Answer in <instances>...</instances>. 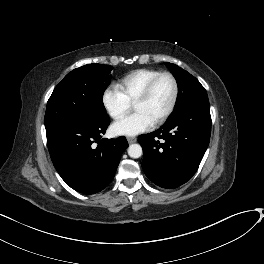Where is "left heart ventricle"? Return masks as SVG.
Segmentation results:
<instances>
[{"label":"left heart ventricle","instance_id":"b2bd125f","mask_svg":"<svg viewBox=\"0 0 264 264\" xmlns=\"http://www.w3.org/2000/svg\"><path fill=\"white\" fill-rule=\"evenodd\" d=\"M173 96V83L167 76L161 77L147 100L134 105L135 112L146 114L155 122L169 107Z\"/></svg>","mask_w":264,"mask_h":264}]
</instances>
